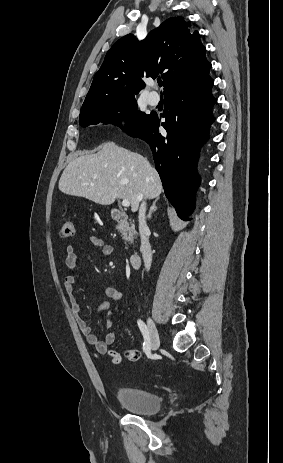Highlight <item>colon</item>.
<instances>
[{
	"label": "colon",
	"mask_w": 283,
	"mask_h": 463,
	"mask_svg": "<svg viewBox=\"0 0 283 463\" xmlns=\"http://www.w3.org/2000/svg\"><path fill=\"white\" fill-rule=\"evenodd\" d=\"M74 235V224L70 219H64L59 226V236L63 239L71 238Z\"/></svg>",
	"instance_id": "5ec220e1"
}]
</instances>
